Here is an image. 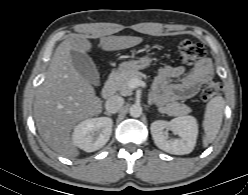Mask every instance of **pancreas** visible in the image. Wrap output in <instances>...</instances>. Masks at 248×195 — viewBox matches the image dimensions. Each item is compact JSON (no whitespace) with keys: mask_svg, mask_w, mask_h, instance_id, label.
Instances as JSON below:
<instances>
[{"mask_svg":"<svg viewBox=\"0 0 248 195\" xmlns=\"http://www.w3.org/2000/svg\"><path fill=\"white\" fill-rule=\"evenodd\" d=\"M143 77L144 75L137 70L122 72L110 81V87L114 92H119L121 95H130L132 94V88L129 87L130 80H140ZM159 111L171 116H181L188 114L190 108L185 104L173 102L166 107L160 108Z\"/></svg>","mask_w":248,"mask_h":195,"instance_id":"obj_1","label":"pancreas"}]
</instances>
